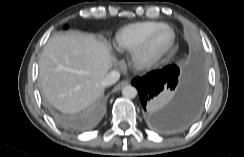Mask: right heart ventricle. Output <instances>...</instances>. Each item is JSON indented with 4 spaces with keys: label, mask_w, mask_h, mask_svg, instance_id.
<instances>
[{
    "label": "right heart ventricle",
    "mask_w": 244,
    "mask_h": 157,
    "mask_svg": "<svg viewBox=\"0 0 244 157\" xmlns=\"http://www.w3.org/2000/svg\"><path fill=\"white\" fill-rule=\"evenodd\" d=\"M164 24L156 21L140 22L127 25L115 35L113 47L119 52H132L140 46L152 32Z\"/></svg>",
    "instance_id": "1"
}]
</instances>
